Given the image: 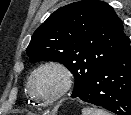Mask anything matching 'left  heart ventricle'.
<instances>
[{"instance_id":"1","label":"left heart ventricle","mask_w":131,"mask_h":115,"mask_svg":"<svg viewBox=\"0 0 131 115\" xmlns=\"http://www.w3.org/2000/svg\"><path fill=\"white\" fill-rule=\"evenodd\" d=\"M61 85V78L54 70H44L33 80V90L42 99L53 96Z\"/></svg>"}]
</instances>
